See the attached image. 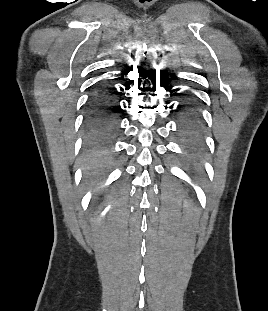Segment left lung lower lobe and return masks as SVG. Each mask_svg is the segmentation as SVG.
I'll use <instances>...</instances> for the list:
<instances>
[{
	"mask_svg": "<svg viewBox=\"0 0 268 311\" xmlns=\"http://www.w3.org/2000/svg\"><path fill=\"white\" fill-rule=\"evenodd\" d=\"M179 117L181 120V125L185 133L186 139L192 138V133L194 131L200 130L202 126L200 113L189 103H186L179 109Z\"/></svg>",
	"mask_w": 268,
	"mask_h": 311,
	"instance_id": "obj_1",
	"label": "left lung lower lobe"
}]
</instances>
